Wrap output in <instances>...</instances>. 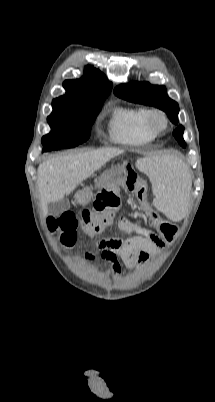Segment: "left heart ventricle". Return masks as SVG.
I'll list each match as a JSON object with an SVG mask.
<instances>
[{
	"label": "left heart ventricle",
	"mask_w": 215,
	"mask_h": 402,
	"mask_svg": "<svg viewBox=\"0 0 215 402\" xmlns=\"http://www.w3.org/2000/svg\"><path fill=\"white\" fill-rule=\"evenodd\" d=\"M157 124H158V125H160V124H161V122H160V121H157Z\"/></svg>",
	"instance_id": "obj_1"
}]
</instances>
